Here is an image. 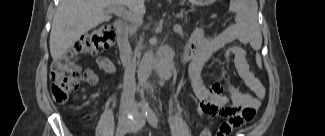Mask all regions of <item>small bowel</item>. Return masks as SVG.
<instances>
[{
    "label": "small bowel",
    "mask_w": 325,
    "mask_h": 136,
    "mask_svg": "<svg viewBox=\"0 0 325 136\" xmlns=\"http://www.w3.org/2000/svg\"><path fill=\"white\" fill-rule=\"evenodd\" d=\"M255 35L251 28L239 18L217 34H210L204 29L196 30L188 41V46L195 48L196 53L189 68V81L195 98L198 101L197 110L208 122L214 118L224 119L218 133L227 136L233 128L241 127L254 118L262 100L265 97V87L262 82L250 71L245 61V50L242 45H252ZM232 43H237L233 44ZM228 46L225 53V67L233 62L236 71L253 95L239 91L227 78L222 82L205 86L200 77L202 66L211 56ZM73 54L75 51H69ZM98 68L106 75L115 72V65L105 56L96 59ZM100 78L91 69L85 71V81L97 85Z\"/></svg>",
    "instance_id": "1"
}]
</instances>
